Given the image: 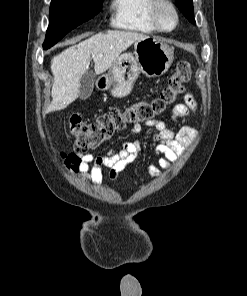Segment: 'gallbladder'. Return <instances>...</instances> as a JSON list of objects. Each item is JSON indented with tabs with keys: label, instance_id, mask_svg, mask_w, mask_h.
<instances>
[{
	"label": "gallbladder",
	"instance_id": "bac80fb5",
	"mask_svg": "<svg viewBox=\"0 0 247 296\" xmlns=\"http://www.w3.org/2000/svg\"><path fill=\"white\" fill-rule=\"evenodd\" d=\"M94 74L91 71H86L81 78L80 88H79V98L86 100L90 97L94 86Z\"/></svg>",
	"mask_w": 247,
	"mask_h": 296
}]
</instances>
